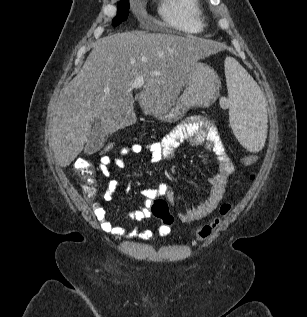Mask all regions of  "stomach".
Masks as SVG:
<instances>
[{
	"instance_id": "stomach-1",
	"label": "stomach",
	"mask_w": 307,
	"mask_h": 317,
	"mask_svg": "<svg viewBox=\"0 0 307 317\" xmlns=\"http://www.w3.org/2000/svg\"><path fill=\"white\" fill-rule=\"evenodd\" d=\"M219 89L220 81L215 71L207 64L196 62L187 73L183 94L172 99L166 108L152 110L151 115L161 121L175 122L189 108L211 104L218 97Z\"/></svg>"
}]
</instances>
